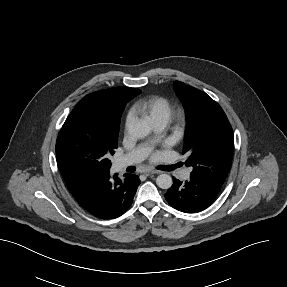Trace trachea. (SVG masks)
I'll use <instances>...</instances> for the list:
<instances>
[{
  "instance_id": "1",
  "label": "trachea",
  "mask_w": 287,
  "mask_h": 287,
  "mask_svg": "<svg viewBox=\"0 0 287 287\" xmlns=\"http://www.w3.org/2000/svg\"><path fill=\"white\" fill-rule=\"evenodd\" d=\"M135 171V169L134 168H132V172H134Z\"/></svg>"
}]
</instances>
